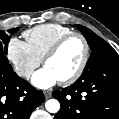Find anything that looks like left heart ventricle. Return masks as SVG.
<instances>
[{
    "label": "left heart ventricle",
    "instance_id": "b2bd125f",
    "mask_svg": "<svg viewBox=\"0 0 119 119\" xmlns=\"http://www.w3.org/2000/svg\"><path fill=\"white\" fill-rule=\"evenodd\" d=\"M84 55V46L79 38L68 41L59 53L47 61L49 68L59 80L65 79L79 67Z\"/></svg>",
    "mask_w": 119,
    "mask_h": 119
}]
</instances>
